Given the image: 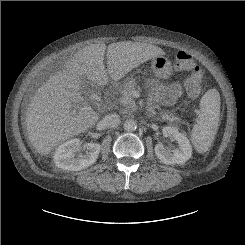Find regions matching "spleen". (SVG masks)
<instances>
[{"label":"spleen","mask_w":245,"mask_h":245,"mask_svg":"<svg viewBox=\"0 0 245 245\" xmlns=\"http://www.w3.org/2000/svg\"><path fill=\"white\" fill-rule=\"evenodd\" d=\"M219 117L220 94L216 89H210L200 100V114L191 133L197 152L204 153L212 145L218 130Z\"/></svg>","instance_id":"3e777b00"}]
</instances>
